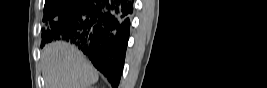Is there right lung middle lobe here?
<instances>
[{
  "mask_svg": "<svg viewBox=\"0 0 267 88\" xmlns=\"http://www.w3.org/2000/svg\"><path fill=\"white\" fill-rule=\"evenodd\" d=\"M76 0H46L44 7L43 21L48 22L55 19L62 11L75 3ZM49 34L46 30L42 33V43H44Z\"/></svg>",
  "mask_w": 267,
  "mask_h": 88,
  "instance_id": "obj_1",
  "label": "right lung middle lobe"
}]
</instances>
